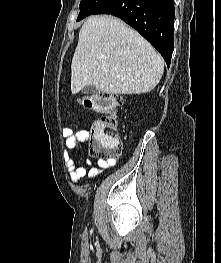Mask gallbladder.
<instances>
[{"instance_id":"obj_1","label":"gallbladder","mask_w":221,"mask_h":263,"mask_svg":"<svg viewBox=\"0 0 221 263\" xmlns=\"http://www.w3.org/2000/svg\"><path fill=\"white\" fill-rule=\"evenodd\" d=\"M96 91H97V89H96L94 86H92V85L85 86V87L81 90V92H82L83 94H86V95L94 94V93H96Z\"/></svg>"}]
</instances>
